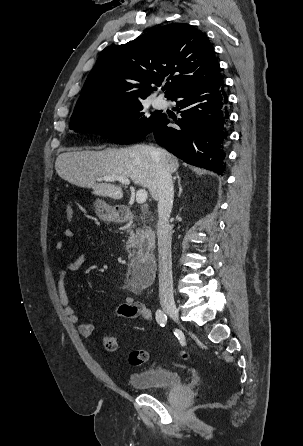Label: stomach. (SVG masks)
<instances>
[{
  "label": "stomach",
  "mask_w": 303,
  "mask_h": 446,
  "mask_svg": "<svg viewBox=\"0 0 303 446\" xmlns=\"http://www.w3.org/2000/svg\"><path fill=\"white\" fill-rule=\"evenodd\" d=\"M94 207L97 215L106 221L115 220L118 216V211L114 207L108 205L103 200L97 199L94 202Z\"/></svg>",
  "instance_id": "obj_1"
}]
</instances>
